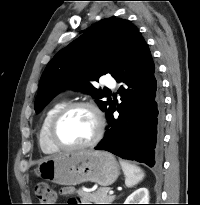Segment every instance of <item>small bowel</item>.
<instances>
[{
    "mask_svg": "<svg viewBox=\"0 0 200 205\" xmlns=\"http://www.w3.org/2000/svg\"><path fill=\"white\" fill-rule=\"evenodd\" d=\"M60 193L62 195H71V194L74 193V190L71 187H64V188L61 189Z\"/></svg>",
    "mask_w": 200,
    "mask_h": 205,
    "instance_id": "obj_1",
    "label": "small bowel"
}]
</instances>
